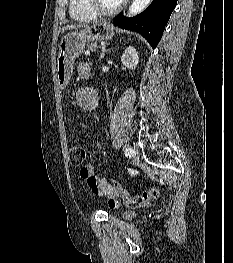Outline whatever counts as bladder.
<instances>
[{
  "instance_id": "bladder-1",
  "label": "bladder",
  "mask_w": 233,
  "mask_h": 263,
  "mask_svg": "<svg viewBox=\"0 0 233 263\" xmlns=\"http://www.w3.org/2000/svg\"><path fill=\"white\" fill-rule=\"evenodd\" d=\"M122 218L126 219V220H130L132 218H134L135 214L132 211H125L121 214Z\"/></svg>"
}]
</instances>
